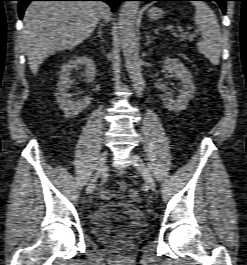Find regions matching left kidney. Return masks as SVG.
<instances>
[{"label":"left kidney","mask_w":247,"mask_h":265,"mask_svg":"<svg viewBox=\"0 0 247 265\" xmlns=\"http://www.w3.org/2000/svg\"><path fill=\"white\" fill-rule=\"evenodd\" d=\"M163 68L173 73L182 82V89L179 90V96L176 100L161 95V99L170 111L179 112L185 110L189 101L195 94V85L192 76L185 65L179 59L167 57L163 62Z\"/></svg>","instance_id":"obj_1"}]
</instances>
